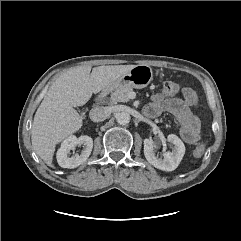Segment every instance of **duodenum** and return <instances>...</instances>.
<instances>
[{"instance_id":"410a0bca","label":"duodenum","mask_w":241,"mask_h":241,"mask_svg":"<svg viewBox=\"0 0 241 241\" xmlns=\"http://www.w3.org/2000/svg\"><path fill=\"white\" fill-rule=\"evenodd\" d=\"M109 91H110V87L105 88V89L100 93V95L98 96V99H101V98H103L104 96H106V95L109 93Z\"/></svg>"}]
</instances>
